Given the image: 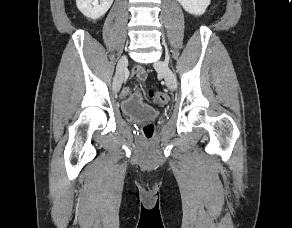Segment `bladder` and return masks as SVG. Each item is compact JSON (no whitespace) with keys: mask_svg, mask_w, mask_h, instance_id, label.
Wrapping results in <instances>:
<instances>
[{"mask_svg":"<svg viewBox=\"0 0 292 228\" xmlns=\"http://www.w3.org/2000/svg\"><path fill=\"white\" fill-rule=\"evenodd\" d=\"M122 111L126 117L134 120H151L158 114L153 107L133 101L125 102L122 105Z\"/></svg>","mask_w":292,"mask_h":228,"instance_id":"bladder-1","label":"bladder"}]
</instances>
